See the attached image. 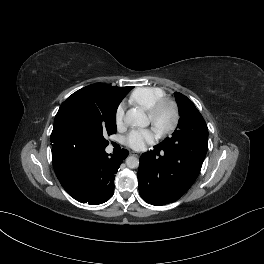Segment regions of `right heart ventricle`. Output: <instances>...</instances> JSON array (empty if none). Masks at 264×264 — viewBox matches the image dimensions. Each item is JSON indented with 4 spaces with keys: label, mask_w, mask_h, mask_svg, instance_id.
Segmentation results:
<instances>
[{
    "label": "right heart ventricle",
    "mask_w": 264,
    "mask_h": 264,
    "mask_svg": "<svg viewBox=\"0 0 264 264\" xmlns=\"http://www.w3.org/2000/svg\"><path fill=\"white\" fill-rule=\"evenodd\" d=\"M163 97H165V91L160 87H139L130 94L128 101L144 110H149Z\"/></svg>",
    "instance_id": "right-heart-ventricle-1"
}]
</instances>
